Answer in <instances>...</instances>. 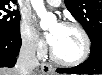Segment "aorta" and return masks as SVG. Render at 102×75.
I'll return each instance as SVG.
<instances>
[{
  "label": "aorta",
  "mask_w": 102,
  "mask_h": 75,
  "mask_svg": "<svg viewBox=\"0 0 102 75\" xmlns=\"http://www.w3.org/2000/svg\"><path fill=\"white\" fill-rule=\"evenodd\" d=\"M32 7L40 17V27L45 30L56 21V17L46 11L43 0H31Z\"/></svg>",
  "instance_id": "762f6f07"
}]
</instances>
